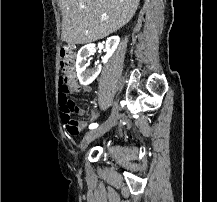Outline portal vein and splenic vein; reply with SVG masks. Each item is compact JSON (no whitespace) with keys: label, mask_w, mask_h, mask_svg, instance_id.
Segmentation results:
<instances>
[{"label":"portal vein and splenic vein","mask_w":217,"mask_h":202,"mask_svg":"<svg viewBox=\"0 0 217 202\" xmlns=\"http://www.w3.org/2000/svg\"><path fill=\"white\" fill-rule=\"evenodd\" d=\"M101 20H107L106 16H102Z\"/></svg>","instance_id":"1"}]
</instances>
